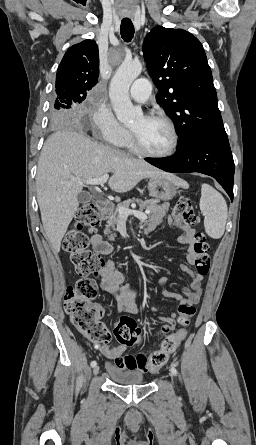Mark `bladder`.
<instances>
[{"mask_svg": "<svg viewBox=\"0 0 256 445\" xmlns=\"http://www.w3.org/2000/svg\"><path fill=\"white\" fill-rule=\"evenodd\" d=\"M113 381L122 385H139L143 383V374L139 371H118L109 367Z\"/></svg>", "mask_w": 256, "mask_h": 445, "instance_id": "obj_1", "label": "bladder"}]
</instances>
